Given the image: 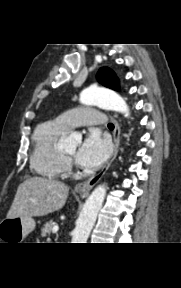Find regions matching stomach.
<instances>
[{
    "mask_svg": "<svg viewBox=\"0 0 181 288\" xmlns=\"http://www.w3.org/2000/svg\"><path fill=\"white\" fill-rule=\"evenodd\" d=\"M35 225L32 217L6 218L0 222V240L4 243H21Z\"/></svg>",
    "mask_w": 181,
    "mask_h": 288,
    "instance_id": "stomach-1",
    "label": "stomach"
}]
</instances>
